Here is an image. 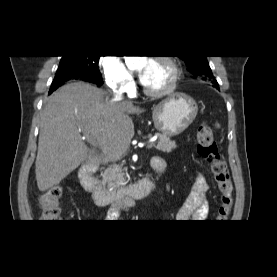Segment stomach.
I'll return each mask as SVG.
<instances>
[{
    "mask_svg": "<svg viewBox=\"0 0 277 277\" xmlns=\"http://www.w3.org/2000/svg\"><path fill=\"white\" fill-rule=\"evenodd\" d=\"M198 113L196 101L184 94L174 93L157 104L152 112L154 126L163 136L181 134Z\"/></svg>",
    "mask_w": 277,
    "mask_h": 277,
    "instance_id": "0dacf381",
    "label": "stomach"
}]
</instances>
